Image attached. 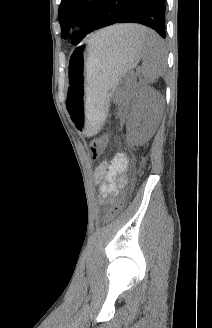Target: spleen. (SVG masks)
<instances>
[{"label": "spleen", "instance_id": "spleen-1", "mask_svg": "<svg viewBox=\"0 0 212 328\" xmlns=\"http://www.w3.org/2000/svg\"><path fill=\"white\" fill-rule=\"evenodd\" d=\"M134 33L143 58L141 72L144 83H154L163 74L165 67L164 43L155 32L145 27L135 25ZM91 41L97 39L91 38Z\"/></svg>", "mask_w": 212, "mask_h": 328}]
</instances>
